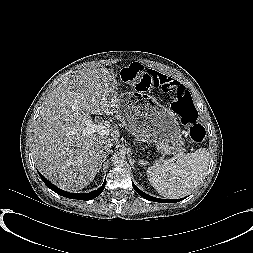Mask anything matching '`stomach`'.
I'll use <instances>...</instances> for the list:
<instances>
[{
    "label": "stomach",
    "instance_id": "stomach-1",
    "mask_svg": "<svg viewBox=\"0 0 253 253\" xmlns=\"http://www.w3.org/2000/svg\"><path fill=\"white\" fill-rule=\"evenodd\" d=\"M117 118L136 139L155 144L165 154L183 148L176 116L153 97L130 92L119 95Z\"/></svg>",
    "mask_w": 253,
    "mask_h": 253
}]
</instances>
